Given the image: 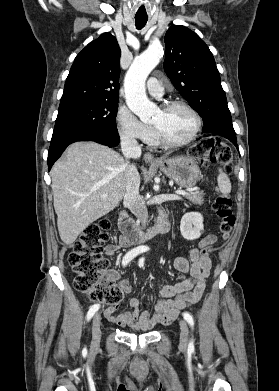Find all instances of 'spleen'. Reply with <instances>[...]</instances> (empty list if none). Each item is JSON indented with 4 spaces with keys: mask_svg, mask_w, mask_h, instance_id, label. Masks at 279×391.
<instances>
[{
    "mask_svg": "<svg viewBox=\"0 0 279 391\" xmlns=\"http://www.w3.org/2000/svg\"><path fill=\"white\" fill-rule=\"evenodd\" d=\"M218 186L222 194H229L231 192V183L227 174L219 169V175L217 177Z\"/></svg>",
    "mask_w": 279,
    "mask_h": 391,
    "instance_id": "spleen-1",
    "label": "spleen"
}]
</instances>
